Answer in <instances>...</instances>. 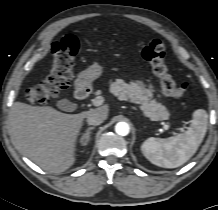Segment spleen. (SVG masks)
<instances>
[{
	"instance_id": "obj_1",
	"label": "spleen",
	"mask_w": 218,
	"mask_h": 210,
	"mask_svg": "<svg viewBox=\"0 0 218 210\" xmlns=\"http://www.w3.org/2000/svg\"><path fill=\"white\" fill-rule=\"evenodd\" d=\"M207 123V112L197 109L187 131L167 139L148 138L141 146L142 153L156 166L179 167L196 153L205 136Z\"/></svg>"
}]
</instances>
